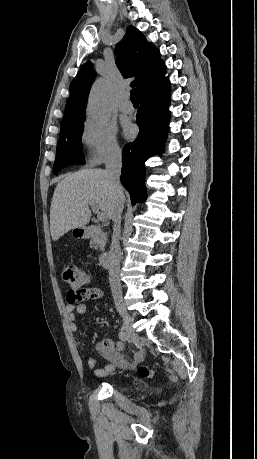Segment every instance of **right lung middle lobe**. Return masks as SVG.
Here are the masks:
<instances>
[{
  "instance_id": "right-lung-middle-lobe-1",
  "label": "right lung middle lobe",
  "mask_w": 257,
  "mask_h": 459,
  "mask_svg": "<svg viewBox=\"0 0 257 459\" xmlns=\"http://www.w3.org/2000/svg\"><path fill=\"white\" fill-rule=\"evenodd\" d=\"M83 123L60 134L53 166L56 175L59 170L70 164H85L81 149Z\"/></svg>"
}]
</instances>
